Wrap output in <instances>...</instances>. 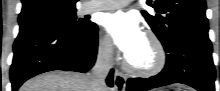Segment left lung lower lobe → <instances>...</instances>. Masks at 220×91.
<instances>
[{
    "label": "left lung lower lobe",
    "mask_w": 220,
    "mask_h": 91,
    "mask_svg": "<svg viewBox=\"0 0 220 91\" xmlns=\"http://www.w3.org/2000/svg\"><path fill=\"white\" fill-rule=\"evenodd\" d=\"M164 49L168 53L165 68L149 79H128L127 91H145L173 83L186 84L199 91L215 90L212 45L208 37L184 36Z\"/></svg>",
    "instance_id": "1"
}]
</instances>
